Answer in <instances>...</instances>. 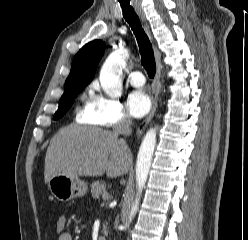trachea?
Here are the masks:
<instances>
[{"instance_id": "3493384b", "label": "trachea", "mask_w": 248, "mask_h": 240, "mask_svg": "<svg viewBox=\"0 0 248 240\" xmlns=\"http://www.w3.org/2000/svg\"><path fill=\"white\" fill-rule=\"evenodd\" d=\"M125 20L130 25L139 46L141 54V63L147 71L150 78H153L156 72V64L152 44L142 28L140 19L129 1H120Z\"/></svg>"}]
</instances>
